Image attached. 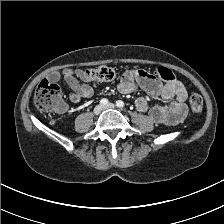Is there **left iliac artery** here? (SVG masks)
Segmentation results:
<instances>
[{
  "label": "left iliac artery",
  "mask_w": 224,
  "mask_h": 224,
  "mask_svg": "<svg viewBox=\"0 0 224 224\" xmlns=\"http://www.w3.org/2000/svg\"><path fill=\"white\" fill-rule=\"evenodd\" d=\"M116 105H117V107H119V108H123V107L125 106L124 102L121 101V100H118V101L116 102Z\"/></svg>",
  "instance_id": "1"
}]
</instances>
